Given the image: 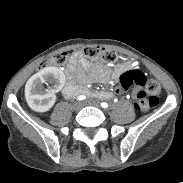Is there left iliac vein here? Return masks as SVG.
I'll use <instances>...</instances> for the list:
<instances>
[{
	"mask_svg": "<svg viewBox=\"0 0 183 183\" xmlns=\"http://www.w3.org/2000/svg\"><path fill=\"white\" fill-rule=\"evenodd\" d=\"M87 104H88V105L95 106V107H99V106H100L99 103H98L97 101H95V100H89V101L87 102Z\"/></svg>",
	"mask_w": 183,
	"mask_h": 183,
	"instance_id": "4c4485c4",
	"label": "left iliac vein"
}]
</instances>
